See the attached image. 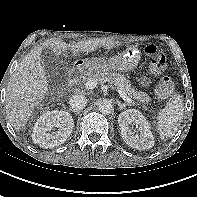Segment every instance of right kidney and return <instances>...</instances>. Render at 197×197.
Returning a JSON list of instances; mask_svg holds the SVG:
<instances>
[{"label": "right kidney", "instance_id": "1", "mask_svg": "<svg viewBox=\"0 0 197 197\" xmlns=\"http://www.w3.org/2000/svg\"><path fill=\"white\" fill-rule=\"evenodd\" d=\"M73 127L74 120L68 112L48 111L35 123L32 140L42 148L59 146L71 135Z\"/></svg>", "mask_w": 197, "mask_h": 197}]
</instances>
